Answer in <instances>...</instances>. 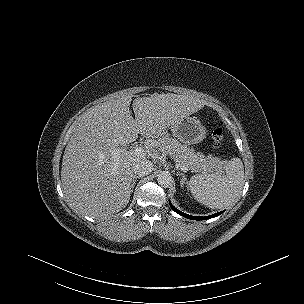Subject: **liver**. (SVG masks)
Segmentation results:
<instances>
[{"instance_id":"1","label":"liver","mask_w":304,"mask_h":304,"mask_svg":"<svg viewBox=\"0 0 304 304\" xmlns=\"http://www.w3.org/2000/svg\"><path fill=\"white\" fill-rule=\"evenodd\" d=\"M111 99L86 110L63 155L61 179L73 209L92 218L124 209L132 193L133 166L155 158L157 138L166 128L199 111L200 99L176 94H157L133 100ZM147 138L144 153L119 147Z\"/></svg>"}]
</instances>
